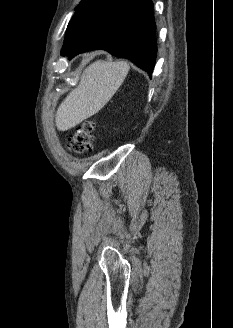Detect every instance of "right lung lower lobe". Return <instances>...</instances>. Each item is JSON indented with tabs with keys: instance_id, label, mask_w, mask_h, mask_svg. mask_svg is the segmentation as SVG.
Segmentation results:
<instances>
[{
	"instance_id": "right-lung-lower-lobe-1",
	"label": "right lung lower lobe",
	"mask_w": 233,
	"mask_h": 328,
	"mask_svg": "<svg viewBox=\"0 0 233 328\" xmlns=\"http://www.w3.org/2000/svg\"><path fill=\"white\" fill-rule=\"evenodd\" d=\"M151 0H92L67 27L62 55L102 49L152 74L157 55Z\"/></svg>"
}]
</instances>
